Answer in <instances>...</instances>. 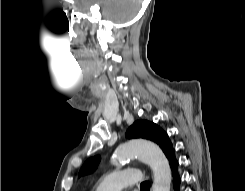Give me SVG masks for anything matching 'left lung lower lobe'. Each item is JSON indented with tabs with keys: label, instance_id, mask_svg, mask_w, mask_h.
Listing matches in <instances>:
<instances>
[{
	"label": "left lung lower lobe",
	"instance_id": "1",
	"mask_svg": "<svg viewBox=\"0 0 245 191\" xmlns=\"http://www.w3.org/2000/svg\"><path fill=\"white\" fill-rule=\"evenodd\" d=\"M169 164L172 171L173 176V188L174 191H179L180 186V176L178 173V161L175 157V150H173L170 155L168 156Z\"/></svg>",
	"mask_w": 245,
	"mask_h": 191
}]
</instances>
